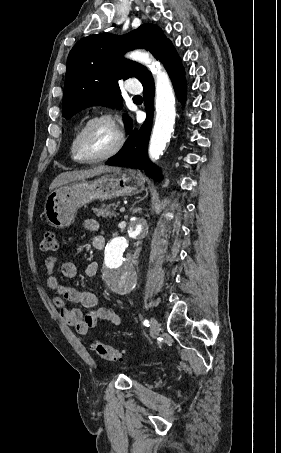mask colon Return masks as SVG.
I'll return each mask as SVG.
<instances>
[{"instance_id": "colon-1", "label": "colon", "mask_w": 281, "mask_h": 453, "mask_svg": "<svg viewBox=\"0 0 281 453\" xmlns=\"http://www.w3.org/2000/svg\"><path fill=\"white\" fill-rule=\"evenodd\" d=\"M58 235L59 233L56 230H47L41 242V250L43 252H57L59 250ZM93 349L104 362L117 363L121 361L119 351L111 346L97 342L94 344Z\"/></svg>"}]
</instances>
